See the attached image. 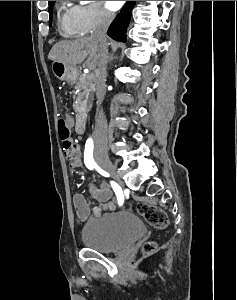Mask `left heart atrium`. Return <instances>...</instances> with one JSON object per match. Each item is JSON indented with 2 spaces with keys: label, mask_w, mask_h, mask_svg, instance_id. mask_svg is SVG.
Wrapping results in <instances>:
<instances>
[{
  "label": "left heart atrium",
  "mask_w": 237,
  "mask_h": 300,
  "mask_svg": "<svg viewBox=\"0 0 237 300\" xmlns=\"http://www.w3.org/2000/svg\"><path fill=\"white\" fill-rule=\"evenodd\" d=\"M125 1H106V5L111 10H118Z\"/></svg>",
  "instance_id": "left-heart-atrium-1"
}]
</instances>
